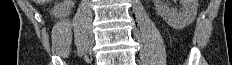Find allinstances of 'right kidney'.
Returning <instances> with one entry per match:
<instances>
[{
    "label": "right kidney",
    "mask_w": 232,
    "mask_h": 65,
    "mask_svg": "<svg viewBox=\"0 0 232 65\" xmlns=\"http://www.w3.org/2000/svg\"><path fill=\"white\" fill-rule=\"evenodd\" d=\"M74 6L73 0H62L54 6L51 14L56 18L67 17L70 15L71 9Z\"/></svg>",
    "instance_id": "obj_1"
}]
</instances>
